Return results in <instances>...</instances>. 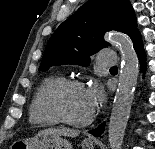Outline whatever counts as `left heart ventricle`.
<instances>
[{
    "label": "left heart ventricle",
    "instance_id": "obj_1",
    "mask_svg": "<svg viewBox=\"0 0 155 149\" xmlns=\"http://www.w3.org/2000/svg\"><path fill=\"white\" fill-rule=\"evenodd\" d=\"M62 106L67 116L76 121L85 120L92 114L84 88L66 90L62 96Z\"/></svg>",
    "mask_w": 155,
    "mask_h": 149
}]
</instances>
